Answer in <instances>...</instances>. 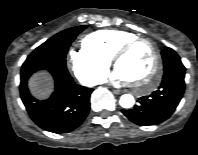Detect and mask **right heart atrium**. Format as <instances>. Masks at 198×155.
<instances>
[{"mask_svg": "<svg viewBox=\"0 0 198 155\" xmlns=\"http://www.w3.org/2000/svg\"><path fill=\"white\" fill-rule=\"evenodd\" d=\"M68 63L77 79L86 85H95L102 82L110 64L109 60L84 45L69 49Z\"/></svg>", "mask_w": 198, "mask_h": 155, "instance_id": "d8ad5b80", "label": "right heart atrium"}]
</instances>
